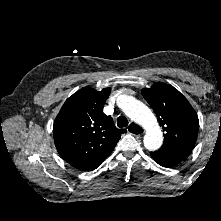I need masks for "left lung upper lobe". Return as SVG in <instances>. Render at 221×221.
Masks as SVG:
<instances>
[{"mask_svg": "<svg viewBox=\"0 0 221 221\" xmlns=\"http://www.w3.org/2000/svg\"><path fill=\"white\" fill-rule=\"evenodd\" d=\"M141 93L165 133L162 147L195 144L199 120L183 94L165 83H156L152 88H144Z\"/></svg>", "mask_w": 221, "mask_h": 221, "instance_id": "left-lung-upper-lobe-1", "label": "left lung upper lobe"}]
</instances>
